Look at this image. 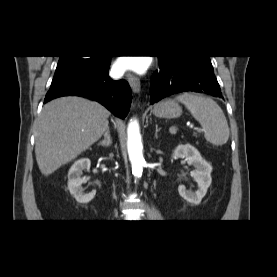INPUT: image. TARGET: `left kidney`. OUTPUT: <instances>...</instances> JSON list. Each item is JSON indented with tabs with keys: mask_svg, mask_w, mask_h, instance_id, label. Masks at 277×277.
Instances as JSON below:
<instances>
[{
	"mask_svg": "<svg viewBox=\"0 0 277 277\" xmlns=\"http://www.w3.org/2000/svg\"><path fill=\"white\" fill-rule=\"evenodd\" d=\"M172 157L174 159L185 158L188 164L195 167V170L191 172V176L197 182L198 190L192 192L186 190L184 185H179L178 192L187 202L199 204L206 195L207 189L212 182V166L204 160L198 150L190 144L178 145L173 151Z\"/></svg>",
	"mask_w": 277,
	"mask_h": 277,
	"instance_id": "obj_1",
	"label": "left kidney"
}]
</instances>
